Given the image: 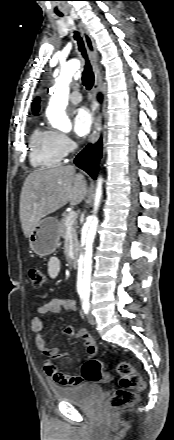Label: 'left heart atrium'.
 <instances>
[{"instance_id":"1","label":"left heart atrium","mask_w":174,"mask_h":440,"mask_svg":"<svg viewBox=\"0 0 174 440\" xmlns=\"http://www.w3.org/2000/svg\"><path fill=\"white\" fill-rule=\"evenodd\" d=\"M92 121V115L87 108H78L73 115V131L75 135L78 138L85 137L91 130Z\"/></svg>"}]
</instances>
